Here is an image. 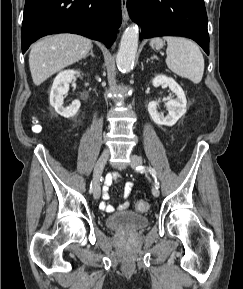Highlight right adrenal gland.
I'll return each instance as SVG.
<instances>
[{
    "mask_svg": "<svg viewBox=\"0 0 243 289\" xmlns=\"http://www.w3.org/2000/svg\"><path fill=\"white\" fill-rule=\"evenodd\" d=\"M89 55H91L92 57H95L92 48H91V50H90V53H88V54L85 56V58L88 57Z\"/></svg>",
    "mask_w": 243,
    "mask_h": 289,
    "instance_id": "2a0ac1e0",
    "label": "right adrenal gland"
}]
</instances>
